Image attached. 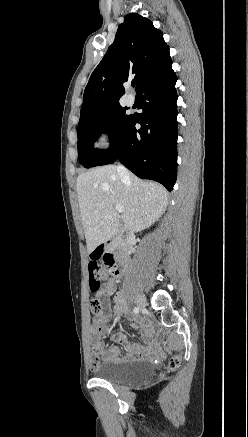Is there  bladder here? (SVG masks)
Masks as SVG:
<instances>
[{
  "label": "bladder",
  "mask_w": 248,
  "mask_h": 437,
  "mask_svg": "<svg viewBox=\"0 0 248 437\" xmlns=\"http://www.w3.org/2000/svg\"><path fill=\"white\" fill-rule=\"evenodd\" d=\"M149 361L106 362L96 371V376L113 384H131L149 379L154 373Z\"/></svg>",
  "instance_id": "31cf9c89"
}]
</instances>
